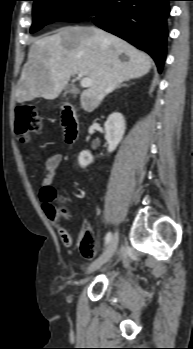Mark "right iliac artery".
I'll return each mask as SVG.
<instances>
[{"label": "right iliac artery", "instance_id": "obj_1", "mask_svg": "<svg viewBox=\"0 0 193 349\" xmlns=\"http://www.w3.org/2000/svg\"><path fill=\"white\" fill-rule=\"evenodd\" d=\"M111 238H112V234L111 232H108L105 237V245H107L110 242Z\"/></svg>", "mask_w": 193, "mask_h": 349}]
</instances>
